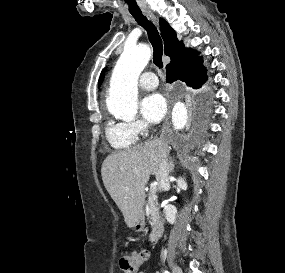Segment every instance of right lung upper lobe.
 <instances>
[{
	"label": "right lung upper lobe",
	"mask_w": 285,
	"mask_h": 273,
	"mask_svg": "<svg viewBox=\"0 0 285 273\" xmlns=\"http://www.w3.org/2000/svg\"><path fill=\"white\" fill-rule=\"evenodd\" d=\"M160 31L164 40L165 54L171 58L166 67L179 64L197 53L184 47L183 42L177 39L175 31L164 19H160Z\"/></svg>",
	"instance_id": "cb5924a9"
}]
</instances>
